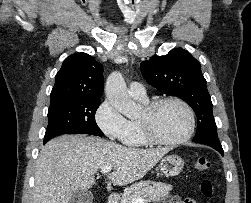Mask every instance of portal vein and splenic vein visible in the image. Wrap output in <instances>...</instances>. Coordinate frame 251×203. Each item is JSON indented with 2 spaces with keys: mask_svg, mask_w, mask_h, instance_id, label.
Returning a JSON list of instances; mask_svg holds the SVG:
<instances>
[{
  "mask_svg": "<svg viewBox=\"0 0 251 203\" xmlns=\"http://www.w3.org/2000/svg\"><path fill=\"white\" fill-rule=\"evenodd\" d=\"M110 171H111L110 167H102L100 172L102 174H108ZM132 203H146V200L144 198H134L132 200Z\"/></svg>",
  "mask_w": 251,
  "mask_h": 203,
  "instance_id": "obj_1",
  "label": "portal vein and splenic vein"
}]
</instances>
